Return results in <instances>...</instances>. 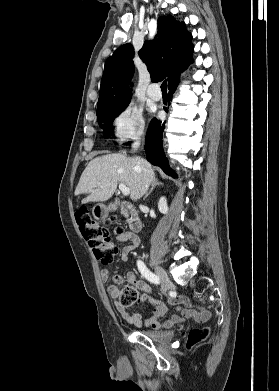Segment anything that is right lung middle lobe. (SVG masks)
<instances>
[{
    "instance_id": "dd1d6c3e",
    "label": "right lung middle lobe",
    "mask_w": 279,
    "mask_h": 391,
    "mask_svg": "<svg viewBox=\"0 0 279 391\" xmlns=\"http://www.w3.org/2000/svg\"><path fill=\"white\" fill-rule=\"evenodd\" d=\"M127 105L128 104L123 105V106H119V107L109 108V109H106L102 112L97 113L98 122H100V123L102 122V123L106 124L104 126V128L107 130V131H104L105 136H106L107 132L109 134H113V127H111L110 125L112 124L115 117H117L118 114H120L121 112L124 111V108Z\"/></svg>"
}]
</instances>
